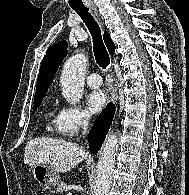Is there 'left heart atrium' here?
<instances>
[{"mask_svg":"<svg viewBox=\"0 0 189 195\" xmlns=\"http://www.w3.org/2000/svg\"><path fill=\"white\" fill-rule=\"evenodd\" d=\"M107 95L103 90H92L86 97L88 111L91 114L98 113L106 104Z\"/></svg>","mask_w":189,"mask_h":195,"instance_id":"left-heart-atrium-1","label":"left heart atrium"}]
</instances>
